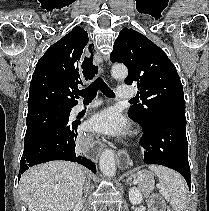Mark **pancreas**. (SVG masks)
Returning <instances> with one entry per match:
<instances>
[{"mask_svg": "<svg viewBox=\"0 0 209 211\" xmlns=\"http://www.w3.org/2000/svg\"><path fill=\"white\" fill-rule=\"evenodd\" d=\"M139 189L144 196H149L154 190V183L151 180L142 179L139 181Z\"/></svg>", "mask_w": 209, "mask_h": 211, "instance_id": "1", "label": "pancreas"}]
</instances>
